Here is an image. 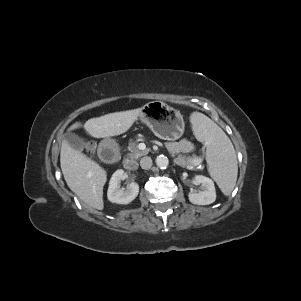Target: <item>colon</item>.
I'll return each instance as SVG.
<instances>
[{"instance_id":"colon-1","label":"colon","mask_w":301,"mask_h":301,"mask_svg":"<svg viewBox=\"0 0 301 301\" xmlns=\"http://www.w3.org/2000/svg\"><path fill=\"white\" fill-rule=\"evenodd\" d=\"M85 148H86L87 152L94 153L96 146L93 142L86 141L85 142Z\"/></svg>"}]
</instances>
